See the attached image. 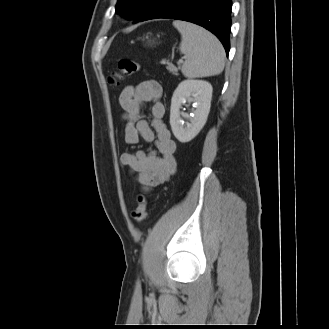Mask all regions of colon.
Returning <instances> with one entry per match:
<instances>
[{"mask_svg":"<svg viewBox=\"0 0 329 329\" xmlns=\"http://www.w3.org/2000/svg\"><path fill=\"white\" fill-rule=\"evenodd\" d=\"M140 70V65L131 59H121L118 68L109 76L112 86H119L121 79L133 75ZM147 216V199L144 195H138V204L132 212V218L137 223H142Z\"/></svg>","mask_w":329,"mask_h":329,"instance_id":"colon-1","label":"colon"}]
</instances>
